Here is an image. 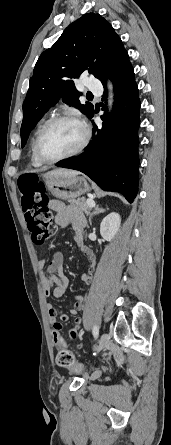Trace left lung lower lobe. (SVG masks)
<instances>
[{
    "mask_svg": "<svg viewBox=\"0 0 171 445\" xmlns=\"http://www.w3.org/2000/svg\"><path fill=\"white\" fill-rule=\"evenodd\" d=\"M111 79L115 93L112 113L101 116L102 128L94 125L93 139L82 154L61 160L57 166L79 170L103 190L120 192L132 203L139 181L140 101L131 63L125 64ZM103 85L105 98L106 82Z\"/></svg>",
    "mask_w": 171,
    "mask_h": 445,
    "instance_id": "0a47b994",
    "label": "left lung lower lobe"
}]
</instances>
